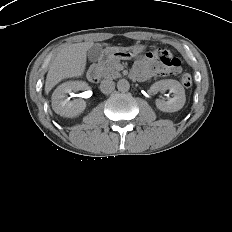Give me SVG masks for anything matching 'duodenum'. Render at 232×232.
Returning a JSON list of instances; mask_svg holds the SVG:
<instances>
[{"mask_svg": "<svg viewBox=\"0 0 232 232\" xmlns=\"http://www.w3.org/2000/svg\"><path fill=\"white\" fill-rule=\"evenodd\" d=\"M87 78L90 82L95 83L99 80V67L97 64H93L87 71Z\"/></svg>", "mask_w": 232, "mask_h": 232, "instance_id": "duodenum-1", "label": "duodenum"}]
</instances>
